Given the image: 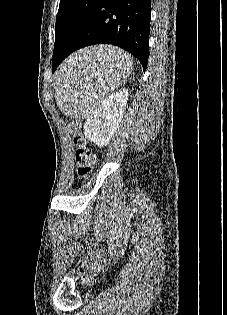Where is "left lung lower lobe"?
<instances>
[{
    "label": "left lung lower lobe",
    "instance_id": "left-lung-lower-lobe-1",
    "mask_svg": "<svg viewBox=\"0 0 227 315\" xmlns=\"http://www.w3.org/2000/svg\"><path fill=\"white\" fill-rule=\"evenodd\" d=\"M151 0H101L63 51L54 53L52 69L71 53L94 44H113L133 54L146 70L149 56Z\"/></svg>",
    "mask_w": 227,
    "mask_h": 315
}]
</instances>
